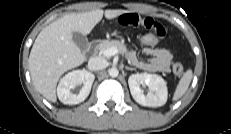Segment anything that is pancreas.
<instances>
[{"mask_svg": "<svg viewBox=\"0 0 231 134\" xmlns=\"http://www.w3.org/2000/svg\"><path fill=\"white\" fill-rule=\"evenodd\" d=\"M110 47H116L122 53L128 54L126 45L118 40L102 41L96 46V50L102 53L104 50Z\"/></svg>", "mask_w": 231, "mask_h": 134, "instance_id": "1", "label": "pancreas"}]
</instances>
